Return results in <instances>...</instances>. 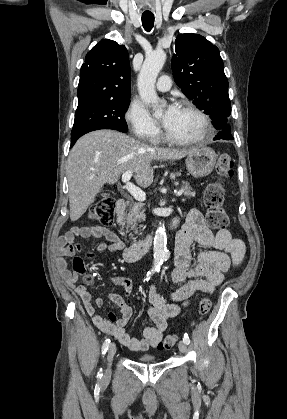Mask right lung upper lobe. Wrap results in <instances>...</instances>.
I'll list each match as a JSON object with an SVG mask.
<instances>
[{
	"instance_id": "cb5924a9",
	"label": "right lung upper lobe",
	"mask_w": 287,
	"mask_h": 419,
	"mask_svg": "<svg viewBox=\"0 0 287 419\" xmlns=\"http://www.w3.org/2000/svg\"><path fill=\"white\" fill-rule=\"evenodd\" d=\"M130 96L127 49L104 39L87 53L81 67L77 109L105 101L129 99Z\"/></svg>"
}]
</instances>
